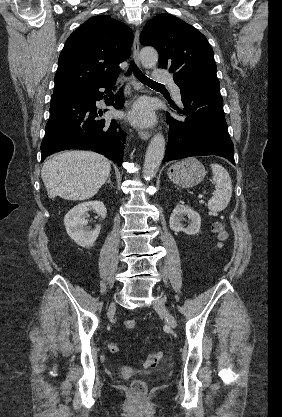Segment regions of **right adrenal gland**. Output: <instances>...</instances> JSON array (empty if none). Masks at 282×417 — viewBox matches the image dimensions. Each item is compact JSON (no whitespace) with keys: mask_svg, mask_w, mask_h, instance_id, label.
Segmentation results:
<instances>
[{"mask_svg":"<svg viewBox=\"0 0 282 417\" xmlns=\"http://www.w3.org/2000/svg\"><path fill=\"white\" fill-rule=\"evenodd\" d=\"M106 182H109L110 186H113L110 176H108V180H106Z\"/></svg>","mask_w":282,"mask_h":417,"instance_id":"2a0ac1e0","label":"right adrenal gland"}]
</instances>
